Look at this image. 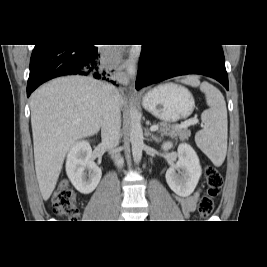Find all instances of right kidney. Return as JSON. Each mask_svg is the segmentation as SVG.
I'll return each mask as SVG.
<instances>
[{"mask_svg": "<svg viewBox=\"0 0 267 267\" xmlns=\"http://www.w3.org/2000/svg\"><path fill=\"white\" fill-rule=\"evenodd\" d=\"M92 149L88 141L75 143L66 160V173L73 186L82 194H89L97 187L101 169L91 159ZM88 171V174L87 172Z\"/></svg>", "mask_w": 267, "mask_h": 267, "instance_id": "ca27d5eb", "label": "right kidney"}]
</instances>
